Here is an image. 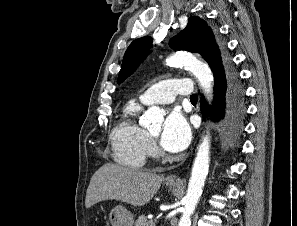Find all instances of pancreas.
<instances>
[{
    "label": "pancreas",
    "instance_id": "cf45deb5",
    "mask_svg": "<svg viewBox=\"0 0 297 226\" xmlns=\"http://www.w3.org/2000/svg\"><path fill=\"white\" fill-rule=\"evenodd\" d=\"M134 226H156L153 220H148L144 215H140Z\"/></svg>",
    "mask_w": 297,
    "mask_h": 226
}]
</instances>
